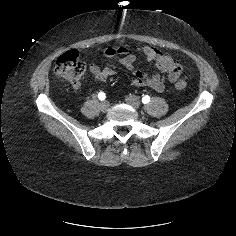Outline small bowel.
Returning a JSON list of instances; mask_svg holds the SVG:
<instances>
[{
  "instance_id": "small-bowel-1",
  "label": "small bowel",
  "mask_w": 236,
  "mask_h": 236,
  "mask_svg": "<svg viewBox=\"0 0 236 236\" xmlns=\"http://www.w3.org/2000/svg\"><path fill=\"white\" fill-rule=\"evenodd\" d=\"M102 55L108 58H117L118 63L133 73L129 84L132 86H145L154 91L162 92L165 88V81L174 83L182 74L181 64L169 53L163 52L152 45H143L129 52L126 46L109 47L102 50ZM139 56L147 61L154 62L158 72L148 76L135 67ZM89 71L94 82H105L109 77L116 74L112 67L101 68L96 63L89 64Z\"/></svg>"
}]
</instances>
